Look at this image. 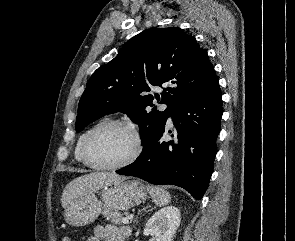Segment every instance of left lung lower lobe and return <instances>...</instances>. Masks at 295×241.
I'll list each match as a JSON object with an SVG mask.
<instances>
[{
	"mask_svg": "<svg viewBox=\"0 0 295 241\" xmlns=\"http://www.w3.org/2000/svg\"><path fill=\"white\" fill-rule=\"evenodd\" d=\"M223 114L218 77L171 113L175 139L164 141L165 123L132 164L116 173L156 185L172 184L200 200L208 188ZM171 133V130H169Z\"/></svg>",
	"mask_w": 295,
	"mask_h": 241,
	"instance_id": "obj_1",
	"label": "left lung lower lobe"
}]
</instances>
